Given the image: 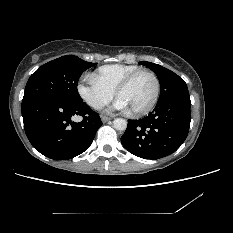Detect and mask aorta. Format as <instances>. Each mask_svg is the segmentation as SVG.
<instances>
[{
    "label": "aorta",
    "instance_id": "aorta-1",
    "mask_svg": "<svg viewBox=\"0 0 233 233\" xmlns=\"http://www.w3.org/2000/svg\"><path fill=\"white\" fill-rule=\"evenodd\" d=\"M113 126L116 130L124 131L127 128V121L122 118H116L113 121Z\"/></svg>",
    "mask_w": 233,
    "mask_h": 233
}]
</instances>
